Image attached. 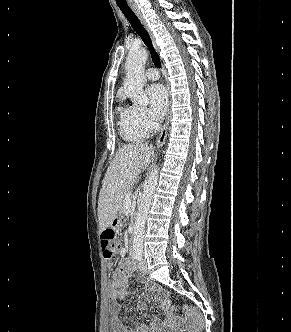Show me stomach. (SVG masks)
Masks as SVG:
<instances>
[{
	"label": "stomach",
	"instance_id": "stomach-1",
	"mask_svg": "<svg viewBox=\"0 0 291 332\" xmlns=\"http://www.w3.org/2000/svg\"><path fill=\"white\" fill-rule=\"evenodd\" d=\"M121 222H122V216L121 214H119L117 216V218H115L112 223H111V226L115 229H119L121 227Z\"/></svg>",
	"mask_w": 291,
	"mask_h": 332
}]
</instances>
